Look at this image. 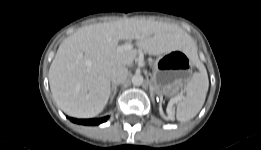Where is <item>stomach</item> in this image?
<instances>
[{
	"label": "stomach",
	"instance_id": "1",
	"mask_svg": "<svg viewBox=\"0 0 261 150\" xmlns=\"http://www.w3.org/2000/svg\"><path fill=\"white\" fill-rule=\"evenodd\" d=\"M191 67V58L182 50L160 55L153 65L152 91L159 95L175 92L189 79Z\"/></svg>",
	"mask_w": 261,
	"mask_h": 150
}]
</instances>
